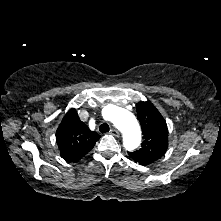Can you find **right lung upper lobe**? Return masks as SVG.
<instances>
[{
  "instance_id": "1",
  "label": "right lung upper lobe",
  "mask_w": 221,
  "mask_h": 221,
  "mask_svg": "<svg viewBox=\"0 0 221 221\" xmlns=\"http://www.w3.org/2000/svg\"><path fill=\"white\" fill-rule=\"evenodd\" d=\"M99 138V134L90 131L79 119L74 108L64 116L56 131V142L60 155L68 162L80 160L94 147Z\"/></svg>"
}]
</instances>
